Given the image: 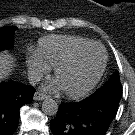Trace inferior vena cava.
Returning <instances> with one entry per match:
<instances>
[{"instance_id": "602c4592", "label": "inferior vena cava", "mask_w": 135, "mask_h": 135, "mask_svg": "<svg viewBox=\"0 0 135 135\" xmlns=\"http://www.w3.org/2000/svg\"><path fill=\"white\" fill-rule=\"evenodd\" d=\"M28 80L31 85H35L41 80V75L35 71L28 73Z\"/></svg>"}]
</instances>
